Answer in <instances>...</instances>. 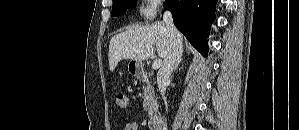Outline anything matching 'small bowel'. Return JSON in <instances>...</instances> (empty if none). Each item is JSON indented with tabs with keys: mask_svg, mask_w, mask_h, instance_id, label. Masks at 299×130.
Masks as SVG:
<instances>
[{
	"mask_svg": "<svg viewBox=\"0 0 299 130\" xmlns=\"http://www.w3.org/2000/svg\"><path fill=\"white\" fill-rule=\"evenodd\" d=\"M123 130H138V124L136 122H129L125 124Z\"/></svg>",
	"mask_w": 299,
	"mask_h": 130,
	"instance_id": "obj_1",
	"label": "small bowel"
}]
</instances>
